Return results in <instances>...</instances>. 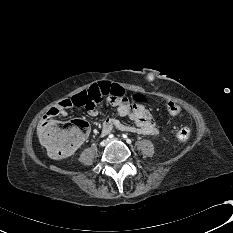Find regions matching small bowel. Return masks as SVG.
I'll return each instance as SVG.
<instances>
[{
    "label": "small bowel",
    "instance_id": "c3829d8e",
    "mask_svg": "<svg viewBox=\"0 0 233 233\" xmlns=\"http://www.w3.org/2000/svg\"><path fill=\"white\" fill-rule=\"evenodd\" d=\"M97 84V83H96ZM94 84V85H96ZM114 93H109L99 99V103L92 112H97L101 106L112 104L117 107V112L120 117L129 118L133 121V125L126 124L115 118H107L103 122V133H109L114 129L126 132L137 133L151 138H155L159 134L158 128L155 126L153 117L149 110L142 104L131 101L125 92L116 100ZM73 107L70 99L62 100L55 107L50 108L43 117V125L46 124L51 118L56 116H67L68 109Z\"/></svg>",
    "mask_w": 233,
    "mask_h": 233
}]
</instances>
